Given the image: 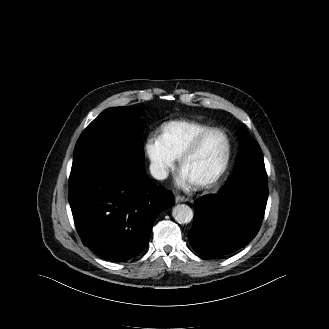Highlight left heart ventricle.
<instances>
[{"instance_id": "b2bd125f", "label": "left heart ventricle", "mask_w": 329, "mask_h": 329, "mask_svg": "<svg viewBox=\"0 0 329 329\" xmlns=\"http://www.w3.org/2000/svg\"><path fill=\"white\" fill-rule=\"evenodd\" d=\"M226 139L221 133H212L203 140L198 151L183 166L193 184L212 177L221 166L226 153Z\"/></svg>"}]
</instances>
